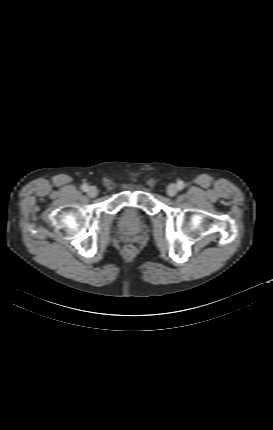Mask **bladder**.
Returning a JSON list of instances; mask_svg holds the SVG:
<instances>
[{"instance_id": "1", "label": "bladder", "mask_w": 273, "mask_h": 430, "mask_svg": "<svg viewBox=\"0 0 273 430\" xmlns=\"http://www.w3.org/2000/svg\"><path fill=\"white\" fill-rule=\"evenodd\" d=\"M119 224L125 232H135L143 225V219L138 212L132 208H126L121 211Z\"/></svg>"}]
</instances>
